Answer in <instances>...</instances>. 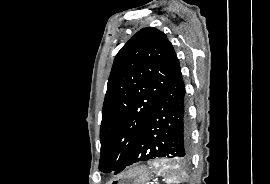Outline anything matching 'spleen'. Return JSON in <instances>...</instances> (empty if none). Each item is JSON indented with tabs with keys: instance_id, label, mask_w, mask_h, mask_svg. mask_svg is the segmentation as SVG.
Masks as SVG:
<instances>
[{
	"instance_id": "obj_1",
	"label": "spleen",
	"mask_w": 270,
	"mask_h": 184,
	"mask_svg": "<svg viewBox=\"0 0 270 184\" xmlns=\"http://www.w3.org/2000/svg\"><path fill=\"white\" fill-rule=\"evenodd\" d=\"M153 167L158 170V173L162 174L163 177L167 180V182H179V175L177 174V165H169L162 162H154Z\"/></svg>"
}]
</instances>
